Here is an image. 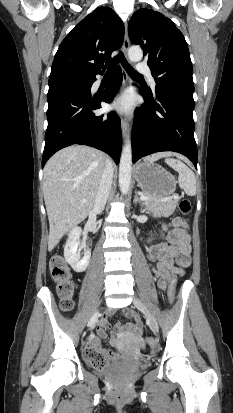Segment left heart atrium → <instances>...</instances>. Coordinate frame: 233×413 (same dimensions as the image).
I'll list each match as a JSON object with an SVG mask.
<instances>
[{"label":"left heart atrium","mask_w":233,"mask_h":413,"mask_svg":"<svg viewBox=\"0 0 233 413\" xmlns=\"http://www.w3.org/2000/svg\"><path fill=\"white\" fill-rule=\"evenodd\" d=\"M134 100L130 92H124L116 96L111 102V108L120 113H130L133 109Z\"/></svg>","instance_id":"left-heart-atrium-1"}]
</instances>
